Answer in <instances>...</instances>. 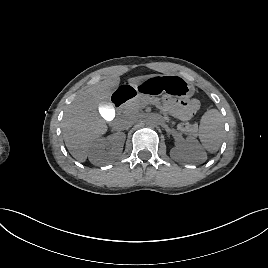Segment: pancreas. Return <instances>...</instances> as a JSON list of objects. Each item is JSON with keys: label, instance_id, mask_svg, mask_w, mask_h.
<instances>
[{"label": "pancreas", "instance_id": "pancreas-1", "mask_svg": "<svg viewBox=\"0 0 268 268\" xmlns=\"http://www.w3.org/2000/svg\"><path fill=\"white\" fill-rule=\"evenodd\" d=\"M153 104L159 106V100L158 98H155L153 96L148 95H139L133 100L127 102L123 106V110L125 114H131V113H138L141 111L146 105ZM164 119L166 122L171 123L173 126L176 124L175 121H171L168 115L164 112ZM177 130L188 134V135H194L197 131V124H190V123H179L177 124Z\"/></svg>", "mask_w": 268, "mask_h": 268}]
</instances>
